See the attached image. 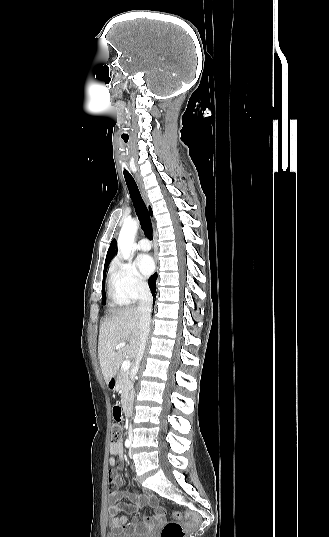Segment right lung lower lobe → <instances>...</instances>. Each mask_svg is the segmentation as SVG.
<instances>
[{
    "label": "right lung lower lobe",
    "mask_w": 329,
    "mask_h": 537,
    "mask_svg": "<svg viewBox=\"0 0 329 537\" xmlns=\"http://www.w3.org/2000/svg\"><path fill=\"white\" fill-rule=\"evenodd\" d=\"M156 279H157V274L155 273L154 275H152L149 279V287H150V290L152 292V295L155 297V291H156Z\"/></svg>",
    "instance_id": "98d812e1"
}]
</instances>
